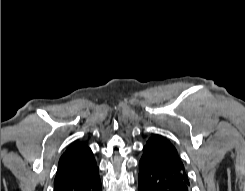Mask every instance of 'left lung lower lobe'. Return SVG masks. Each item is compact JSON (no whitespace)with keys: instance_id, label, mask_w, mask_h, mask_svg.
<instances>
[{"instance_id":"obj_1","label":"left lung lower lobe","mask_w":245,"mask_h":191,"mask_svg":"<svg viewBox=\"0 0 245 191\" xmlns=\"http://www.w3.org/2000/svg\"><path fill=\"white\" fill-rule=\"evenodd\" d=\"M139 191H190V182L184 165L143 149L139 161Z\"/></svg>"}]
</instances>
